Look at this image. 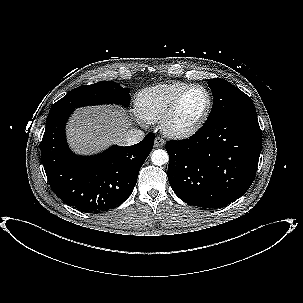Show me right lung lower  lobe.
<instances>
[{
    "label": "right lung lower lobe",
    "instance_id": "right-lung-lower-lobe-1",
    "mask_svg": "<svg viewBox=\"0 0 303 303\" xmlns=\"http://www.w3.org/2000/svg\"><path fill=\"white\" fill-rule=\"evenodd\" d=\"M73 110L49 112L41 142V160L53 192L73 208L99 213L124 202L137 183L155 135L129 147L114 145L95 156L73 154L65 125Z\"/></svg>",
    "mask_w": 303,
    "mask_h": 303
}]
</instances>
